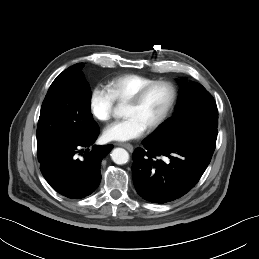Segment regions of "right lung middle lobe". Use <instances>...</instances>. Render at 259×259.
<instances>
[{
  "label": "right lung middle lobe",
  "mask_w": 259,
  "mask_h": 259,
  "mask_svg": "<svg viewBox=\"0 0 259 259\" xmlns=\"http://www.w3.org/2000/svg\"><path fill=\"white\" fill-rule=\"evenodd\" d=\"M84 63L75 64L51 84L37 126V149L85 134L96 122L90 113L91 91L84 79Z\"/></svg>",
  "instance_id": "1"
}]
</instances>
